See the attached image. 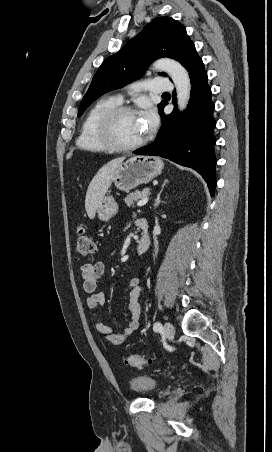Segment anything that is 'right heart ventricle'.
Segmentation results:
<instances>
[{
  "instance_id": "1",
  "label": "right heart ventricle",
  "mask_w": 272,
  "mask_h": 452,
  "mask_svg": "<svg viewBox=\"0 0 272 452\" xmlns=\"http://www.w3.org/2000/svg\"><path fill=\"white\" fill-rule=\"evenodd\" d=\"M118 104L119 101L116 98L103 97L91 106L81 124L76 140V144L80 149L89 152H106L109 150L98 135L97 122L107 109Z\"/></svg>"
}]
</instances>
